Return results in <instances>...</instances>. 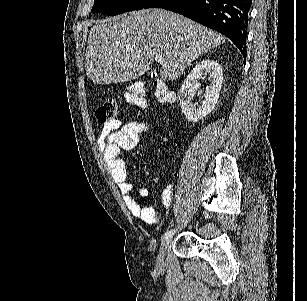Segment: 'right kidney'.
I'll list each match as a JSON object with an SVG mask.
<instances>
[{
  "instance_id": "right-kidney-1",
  "label": "right kidney",
  "mask_w": 307,
  "mask_h": 301,
  "mask_svg": "<svg viewBox=\"0 0 307 301\" xmlns=\"http://www.w3.org/2000/svg\"><path fill=\"white\" fill-rule=\"evenodd\" d=\"M203 74H209L208 78L211 84L206 86V98L203 100L202 106H198V104H192V100L195 90H198L200 86L198 80ZM222 84L223 70L221 64L216 60H208V58L200 60L187 74L180 90H178V100H180V106L186 118L191 122H199L201 118L210 114L218 102Z\"/></svg>"
}]
</instances>
